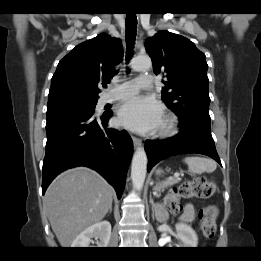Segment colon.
Instances as JSON below:
<instances>
[{"label": "colon", "mask_w": 261, "mask_h": 261, "mask_svg": "<svg viewBox=\"0 0 261 261\" xmlns=\"http://www.w3.org/2000/svg\"><path fill=\"white\" fill-rule=\"evenodd\" d=\"M216 192L214 182L206 177H197L184 181L179 186L170 190L163 199L165 208L173 214L182 210V199H207ZM216 208L209 205L199 213V222L206 239H212L216 232Z\"/></svg>", "instance_id": "5ec220e1"}]
</instances>
